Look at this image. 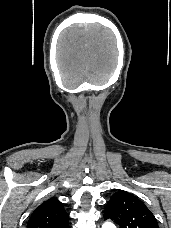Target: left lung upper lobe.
Returning a JSON list of instances; mask_svg holds the SVG:
<instances>
[{
    "label": "left lung upper lobe",
    "instance_id": "1",
    "mask_svg": "<svg viewBox=\"0 0 171 228\" xmlns=\"http://www.w3.org/2000/svg\"><path fill=\"white\" fill-rule=\"evenodd\" d=\"M104 219H110L120 228H159L151 211L132 193L115 192L107 203Z\"/></svg>",
    "mask_w": 171,
    "mask_h": 228
}]
</instances>
